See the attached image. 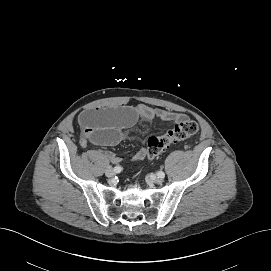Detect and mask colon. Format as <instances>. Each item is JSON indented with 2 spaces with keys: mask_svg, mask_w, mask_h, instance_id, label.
<instances>
[{
  "mask_svg": "<svg viewBox=\"0 0 271 271\" xmlns=\"http://www.w3.org/2000/svg\"><path fill=\"white\" fill-rule=\"evenodd\" d=\"M198 126L194 120L189 118L176 122L160 136H153L147 142V157L153 159L171 144L185 140L194 135Z\"/></svg>",
  "mask_w": 271,
  "mask_h": 271,
  "instance_id": "1",
  "label": "colon"
}]
</instances>
